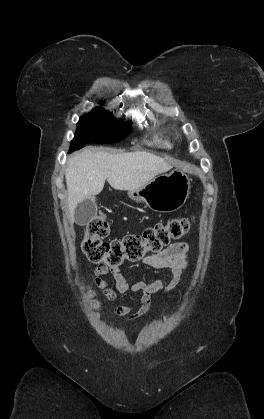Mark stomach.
Listing matches in <instances>:
<instances>
[{"mask_svg":"<svg viewBox=\"0 0 264 419\" xmlns=\"http://www.w3.org/2000/svg\"><path fill=\"white\" fill-rule=\"evenodd\" d=\"M190 191V179L180 169L153 178L146 185L128 191L130 199L144 202L156 212H173L181 208Z\"/></svg>","mask_w":264,"mask_h":419,"instance_id":"1","label":"stomach"}]
</instances>
